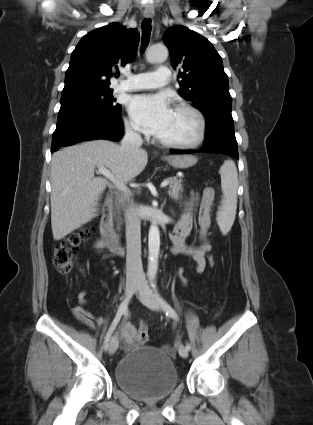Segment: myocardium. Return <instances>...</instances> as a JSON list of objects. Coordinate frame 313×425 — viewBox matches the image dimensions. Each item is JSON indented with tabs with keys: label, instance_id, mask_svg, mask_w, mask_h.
Returning <instances> with one entry per match:
<instances>
[{
	"label": "myocardium",
	"instance_id": "f54148a6",
	"mask_svg": "<svg viewBox=\"0 0 313 425\" xmlns=\"http://www.w3.org/2000/svg\"><path fill=\"white\" fill-rule=\"evenodd\" d=\"M174 110L188 112L196 119L198 124V131L195 138L188 142H172L162 140L160 138H157V141L161 145L168 148L192 149L198 147L204 141L207 132V122L205 116L199 109L187 103L177 104Z\"/></svg>",
	"mask_w": 313,
	"mask_h": 425
}]
</instances>
